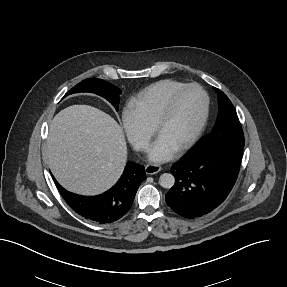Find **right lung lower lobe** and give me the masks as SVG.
Here are the masks:
<instances>
[{
    "label": "right lung lower lobe",
    "instance_id": "1",
    "mask_svg": "<svg viewBox=\"0 0 287 287\" xmlns=\"http://www.w3.org/2000/svg\"><path fill=\"white\" fill-rule=\"evenodd\" d=\"M146 179L143 166L128 163L118 182L98 196H81L65 190L54 179L67 204L79 215L99 224L112 223L130 209L137 189Z\"/></svg>",
    "mask_w": 287,
    "mask_h": 287
}]
</instances>
